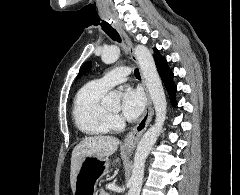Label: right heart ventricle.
I'll return each mask as SVG.
<instances>
[{"instance_id": "right-heart-ventricle-1", "label": "right heart ventricle", "mask_w": 240, "mask_h": 195, "mask_svg": "<svg viewBox=\"0 0 240 195\" xmlns=\"http://www.w3.org/2000/svg\"><path fill=\"white\" fill-rule=\"evenodd\" d=\"M108 88L103 83L92 81L78 93L73 107L77 128L88 136L98 137L110 132L111 116L104 103Z\"/></svg>"}]
</instances>
